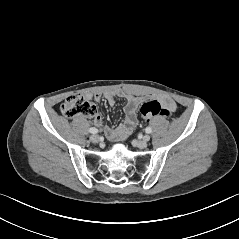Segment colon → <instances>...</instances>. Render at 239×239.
Wrapping results in <instances>:
<instances>
[{"mask_svg":"<svg viewBox=\"0 0 239 239\" xmlns=\"http://www.w3.org/2000/svg\"><path fill=\"white\" fill-rule=\"evenodd\" d=\"M94 111V104L88 96L83 94L71 95L61 105L62 114L69 118L78 115L88 116L93 114ZM140 112L142 117L147 121L154 117H167L169 115V111L156 100L144 103L141 106Z\"/></svg>","mask_w":239,"mask_h":239,"instance_id":"obj_1","label":"colon"}]
</instances>
